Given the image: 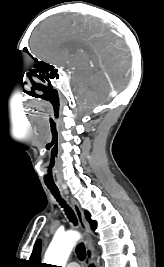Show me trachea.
Masks as SVG:
<instances>
[{"instance_id": "trachea-1", "label": "trachea", "mask_w": 164, "mask_h": 267, "mask_svg": "<svg viewBox=\"0 0 164 267\" xmlns=\"http://www.w3.org/2000/svg\"><path fill=\"white\" fill-rule=\"evenodd\" d=\"M51 193L54 195V197L57 199L59 204L64 208L65 214L67 215L70 222L73 224H77V218L73 212V210L66 204V202L61 198L60 192L57 187L48 186ZM76 254L79 260L83 261L86 257V251L83 243H80L76 247Z\"/></svg>"}]
</instances>
